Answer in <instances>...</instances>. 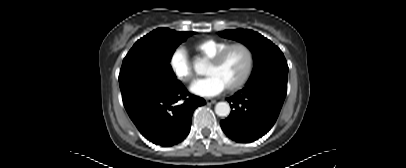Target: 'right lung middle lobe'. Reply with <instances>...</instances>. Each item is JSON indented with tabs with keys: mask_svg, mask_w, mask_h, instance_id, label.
<instances>
[{
	"mask_svg": "<svg viewBox=\"0 0 406 168\" xmlns=\"http://www.w3.org/2000/svg\"><path fill=\"white\" fill-rule=\"evenodd\" d=\"M193 33L158 28L133 45L119 74L126 109L178 82L169 61L177 46Z\"/></svg>",
	"mask_w": 406,
	"mask_h": 168,
	"instance_id": "1",
	"label": "right lung middle lobe"
}]
</instances>
